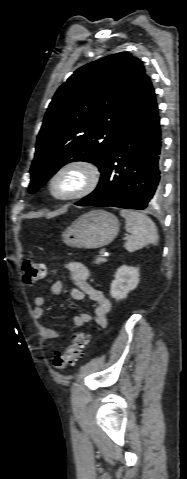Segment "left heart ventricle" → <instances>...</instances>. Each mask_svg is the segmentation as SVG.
I'll return each instance as SVG.
<instances>
[{
    "instance_id": "left-heart-ventricle-1",
    "label": "left heart ventricle",
    "mask_w": 187,
    "mask_h": 479,
    "mask_svg": "<svg viewBox=\"0 0 187 479\" xmlns=\"http://www.w3.org/2000/svg\"><path fill=\"white\" fill-rule=\"evenodd\" d=\"M79 182V176L76 174H68L64 176L57 184L56 191L59 194H66L73 190Z\"/></svg>"
}]
</instances>
